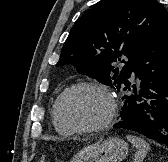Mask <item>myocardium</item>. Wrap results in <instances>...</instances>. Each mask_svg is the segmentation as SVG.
<instances>
[{"label": "myocardium", "mask_w": 168, "mask_h": 162, "mask_svg": "<svg viewBox=\"0 0 168 162\" xmlns=\"http://www.w3.org/2000/svg\"><path fill=\"white\" fill-rule=\"evenodd\" d=\"M92 89L95 91H98L102 93L104 96L107 97L110 103V112L106 119L102 121L101 123L95 124V125H78V124H73L69 122L65 116L63 115L62 112V104L65 99V97L70 94L71 92L78 90V89ZM55 113L57 116V119L59 122L66 127L67 129L73 131V132H99L107 129L110 127V125L113 123L116 115H117V103L112 95V93L104 86L92 83V82H79L75 83L68 88H66L57 98L56 103H55Z\"/></svg>", "instance_id": "obj_1"}]
</instances>
